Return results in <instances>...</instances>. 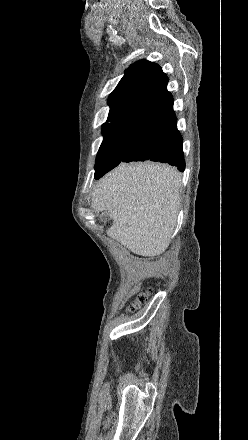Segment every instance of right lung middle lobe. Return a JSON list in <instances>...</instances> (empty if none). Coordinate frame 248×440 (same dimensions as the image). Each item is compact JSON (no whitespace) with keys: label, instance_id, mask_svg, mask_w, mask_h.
<instances>
[{"label":"right lung middle lobe","instance_id":"right-lung-middle-lobe-1","mask_svg":"<svg viewBox=\"0 0 248 440\" xmlns=\"http://www.w3.org/2000/svg\"><path fill=\"white\" fill-rule=\"evenodd\" d=\"M131 132L125 130L103 140L96 156L94 175L96 179L102 177L121 162Z\"/></svg>","mask_w":248,"mask_h":440}]
</instances>
